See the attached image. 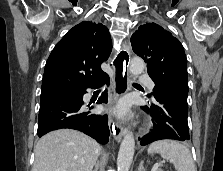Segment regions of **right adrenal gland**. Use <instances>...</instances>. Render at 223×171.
Returning <instances> with one entry per match:
<instances>
[{
    "label": "right adrenal gland",
    "mask_w": 223,
    "mask_h": 171,
    "mask_svg": "<svg viewBox=\"0 0 223 171\" xmlns=\"http://www.w3.org/2000/svg\"><path fill=\"white\" fill-rule=\"evenodd\" d=\"M98 168H99V162H97V163L95 164V168H94L93 171H98Z\"/></svg>",
    "instance_id": "right-adrenal-gland-1"
}]
</instances>
